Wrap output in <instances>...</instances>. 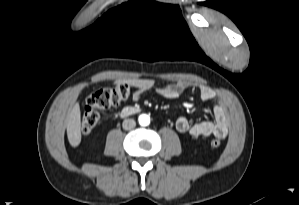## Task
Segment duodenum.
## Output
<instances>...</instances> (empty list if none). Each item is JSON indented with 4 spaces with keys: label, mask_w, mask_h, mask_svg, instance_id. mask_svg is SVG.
I'll list each match as a JSON object with an SVG mask.
<instances>
[{
    "label": "duodenum",
    "mask_w": 299,
    "mask_h": 205,
    "mask_svg": "<svg viewBox=\"0 0 299 205\" xmlns=\"http://www.w3.org/2000/svg\"><path fill=\"white\" fill-rule=\"evenodd\" d=\"M139 107H136V106H127V107H124L121 112H120V115L122 117H128L130 115H133L135 113H137L139 111Z\"/></svg>",
    "instance_id": "410a0bca"
}]
</instances>
